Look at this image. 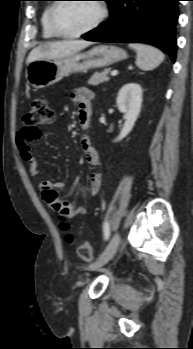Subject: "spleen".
Here are the masks:
<instances>
[{"mask_svg": "<svg viewBox=\"0 0 193 349\" xmlns=\"http://www.w3.org/2000/svg\"><path fill=\"white\" fill-rule=\"evenodd\" d=\"M129 47L137 52L136 65L139 69L150 71L160 65L165 55L157 48L150 45L131 43Z\"/></svg>", "mask_w": 193, "mask_h": 349, "instance_id": "1", "label": "spleen"}]
</instances>
